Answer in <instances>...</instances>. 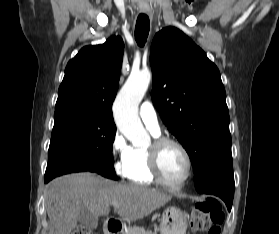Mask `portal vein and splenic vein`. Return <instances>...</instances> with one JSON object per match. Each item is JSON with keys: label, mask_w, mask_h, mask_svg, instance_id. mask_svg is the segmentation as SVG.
<instances>
[{"label": "portal vein and splenic vein", "mask_w": 279, "mask_h": 234, "mask_svg": "<svg viewBox=\"0 0 279 234\" xmlns=\"http://www.w3.org/2000/svg\"><path fill=\"white\" fill-rule=\"evenodd\" d=\"M120 206H121L120 203H113V207H114L115 209H118Z\"/></svg>", "instance_id": "obj_1"}]
</instances>
